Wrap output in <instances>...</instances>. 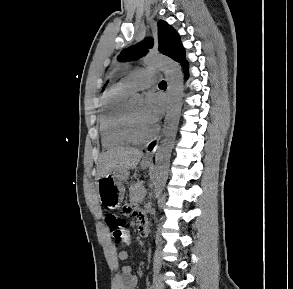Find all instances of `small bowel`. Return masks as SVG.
Masks as SVG:
<instances>
[{
  "label": "small bowel",
  "instance_id": "c3829d8e",
  "mask_svg": "<svg viewBox=\"0 0 293 289\" xmlns=\"http://www.w3.org/2000/svg\"><path fill=\"white\" fill-rule=\"evenodd\" d=\"M138 217L141 220L143 217L141 213H138ZM124 244L130 243V233L127 231L124 240L122 241ZM118 258L121 261H126L129 259V253L127 250L122 249L118 253ZM138 283L137 277L133 274L132 268L129 265H124L121 267L120 274L116 281L117 289H135Z\"/></svg>",
  "mask_w": 293,
  "mask_h": 289
}]
</instances>
